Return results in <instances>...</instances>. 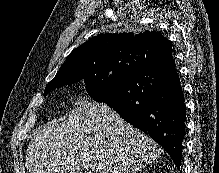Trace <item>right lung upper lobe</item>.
I'll return each instance as SVG.
<instances>
[{"mask_svg":"<svg viewBox=\"0 0 219 173\" xmlns=\"http://www.w3.org/2000/svg\"><path fill=\"white\" fill-rule=\"evenodd\" d=\"M171 58L172 42L159 32L100 34L73 50L47 86L67 72L81 75L102 65L127 62L137 67L149 60L162 62Z\"/></svg>","mask_w":219,"mask_h":173,"instance_id":"obj_1","label":"right lung upper lobe"}]
</instances>
